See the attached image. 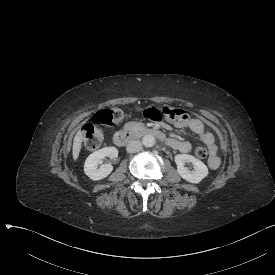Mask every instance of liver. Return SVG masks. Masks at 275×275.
<instances>
[{
	"label": "liver",
	"mask_w": 275,
	"mask_h": 275,
	"mask_svg": "<svg viewBox=\"0 0 275 275\" xmlns=\"http://www.w3.org/2000/svg\"><path fill=\"white\" fill-rule=\"evenodd\" d=\"M82 131L79 130L73 140V146H72V157L73 160L76 162L79 158V154L81 152V148H82Z\"/></svg>",
	"instance_id": "liver-1"
}]
</instances>
